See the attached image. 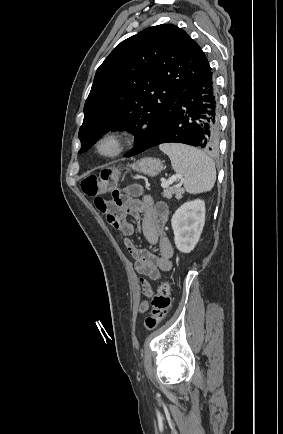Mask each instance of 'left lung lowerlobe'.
I'll return each mask as SVG.
<instances>
[{"label":"left lung lower lobe","mask_w":283,"mask_h":434,"mask_svg":"<svg viewBox=\"0 0 283 434\" xmlns=\"http://www.w3.org/2000/svg\"><path fill=\"white\" fill-rule=\"evenodd\" d=\"M169 142L216 151L219 143V98L211 69L180 94L152 143L139 153Z\"/></svg>","instance_id":"1"}]
</instances>
